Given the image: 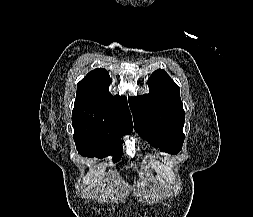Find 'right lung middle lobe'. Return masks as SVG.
<instances>
[{
  "label": "right lung middle lobe",
  "mask_w": 253,
  "mask_h": 217,
  "mask_svg": "<svg viewBox=\"0 0 253 217\" xmlns=\"http://www.w3.org/2000/svg\"><path fill=\"white\" fill-rule=\"evenodd\" d=\"M72 125L75 130L73 138L80 155L98 158L114 155V162L120 160L123 153L120 137L133 130V124L128 122L81 118H72Z\"/></svg>",
  "instance_id": "obj_1"
}]
</instances>
